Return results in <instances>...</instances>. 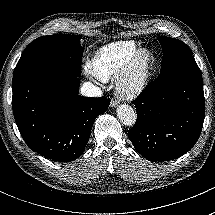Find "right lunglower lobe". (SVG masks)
Here are the masks:
<instances>
[{
  "instance_id": "right-lung-lower-lobe-1",
  "label": "right lung lower lobe",
  "mask_w": 215,
  "mask_h": 215,
  "mask_svg": "<svg viewBox=\"0 0 215 215\" xmlns=\"http://www.w3.org/2000/svg\"><path fill=\"white\" fill-rule=\"evenodd\" d=\"M79 76L38 71L13 81V114L26 144L47 159L70 162L89 140L110 100L79 96Z\"/></svg>"
}]
</instances>
